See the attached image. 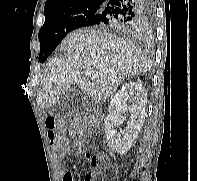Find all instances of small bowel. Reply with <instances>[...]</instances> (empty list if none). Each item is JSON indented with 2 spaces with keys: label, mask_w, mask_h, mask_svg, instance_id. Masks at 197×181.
Here are the masks:
<instances>
[{
  "label": "small bowel",
  "mask_w": 197,
  "mask_h": 181,
  "mask_svg": "<svg viewBox=\"0 0 197 181\" xmlns=\"http://www.w3.org/2000/svg\"><path fill=\"white\" fill-rule=\"evenodd\" d=\"M72 148L77 149L78 153H81L83 148L80 142L78 141H63V144L60 149H55V160L57 163H62L66 155L70 152ZM59 173L61 175V181H74V177L71 171L67 170L63 166H59Z\"/></svg>",
  "instance_id": "1"
}]
</instances>
